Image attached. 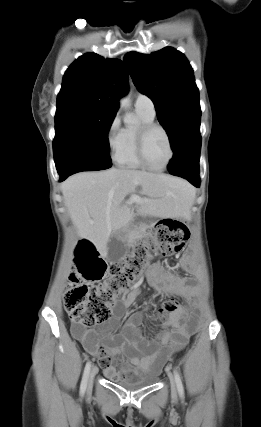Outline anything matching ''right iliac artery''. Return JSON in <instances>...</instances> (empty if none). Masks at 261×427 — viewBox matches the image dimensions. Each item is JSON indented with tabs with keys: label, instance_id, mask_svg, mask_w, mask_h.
Listing matches in <instances>:
<instances>
[{
	"label": "right iliac artery",
	"instance_id": "82829eb1",
	"mask_svg": "<svg viewBox=\"0 0 261 427\" xmlns=\"http://www.w3.org/2000/svg\"><path fill=\"white\" fill-rule=\"evenodd\" d=\"M90 368H91V362L88 361L86 363V366H85V369H84V374H83L81 385H80V394L81 395H83L85 393V390H86V387H87V379H88V376H89Z\"/></svg>",
	"mask_w": 261,
	"mask_h": 427
}]
</instances>
